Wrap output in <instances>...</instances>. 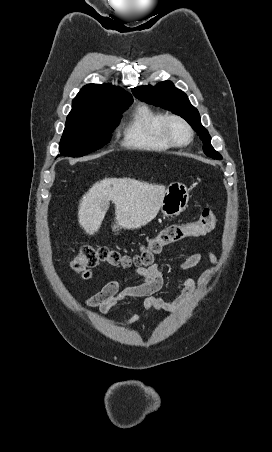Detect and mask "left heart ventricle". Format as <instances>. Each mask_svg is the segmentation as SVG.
Returning a JSON list of instances; mask_svg holds the SVG:
<instances>
[{
	"instance_id": "left-heart-ventricle-1",
	"label": "left heart ventricle",
	"mask_w": 272,
	"mask_h": 452,
	"mask_svg": "<svg viewBox=\"0 0 272 452\" xmlns=\"http://www.w3.org/2000/svg\"><path fill=\"white\" fill-rule=\"evenodd\" d=\"M171 132L174 138L178 141H184L187 139V132L185 128L178 122L172 123Z\"/></svg>"
}]
</instances>
